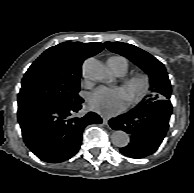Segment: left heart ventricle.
<instances>
[{
  "instance_id": "left-heart-ventricle-1",
  "label": "left heart ventricle",
  "mask_w": 194,
  "mask_h": 193,
  "mask_svg": "<svg viewBox=\"0 0 194 193\" xmlns=\"http://www.w3.org/2000/svg\"><path fill=\"white\" fill-rule=\"evenodd\" d=\"M137 89H138V86H137V85H135V86H133V87H131V88L125 89L127 98H129L130 96H132L133 93H134Z\"/></svg>"
}]
</instances>
